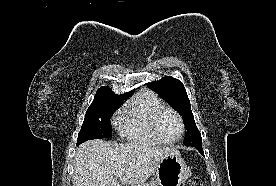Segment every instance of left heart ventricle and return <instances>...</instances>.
<instances>
[{"mask_svg":"<svg viewBox=\"0 0 276 186\" xmlns=\"http://www.w3.org/2000/svg\"><path fill=\"white\" fill-rule=\"evenodd\" d=\"M158 126L161 134L168 140L176 139L181 132L179 121L171 112H164L161 115Z\"/></svg>","mask_w":276,"mask_h":186,"instance_id":"b2bd125f","label":"left heart ventricle"}]
</instances>
